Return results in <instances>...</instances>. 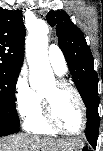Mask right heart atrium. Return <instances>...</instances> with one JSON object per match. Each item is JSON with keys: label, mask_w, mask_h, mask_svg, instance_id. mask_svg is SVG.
<instances>
[{"label": "right heart atrium", "mask_w": 103, "mask_h": 151, "mask_svg": "<svg viewBox=\"0 0 103 151\" xmlns=\"http://www.w3.org/2000/svg\"><path fill=\"white\" fill-rule=\"evenodd\" d=\"M14 101L18 115L24 119L32 113L37 104V93L28 84L24 72H21L16 79L14 86Z\"/></svg>", "instance_id": "1"}]
</instances>
